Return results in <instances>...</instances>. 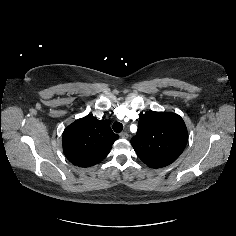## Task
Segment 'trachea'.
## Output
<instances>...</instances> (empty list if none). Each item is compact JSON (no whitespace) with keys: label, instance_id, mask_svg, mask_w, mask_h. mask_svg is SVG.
Segmentation results:
<instances>
[{"label":"trachea","instance_id":"trachea-1","mask_svg":"<svg viewBox=\"0 0 236 236\" xmlns=\"http://www.w3.org/2000/svg\"><path fill=\"white\" fill-rule=\"evenodd\" d=\"M113 130L116 132V133H120L122 130H123V125L122 123L120 122H115L113 124Z\"/></svg>","mask_w":236,"mask_h":236}]
</instances>
